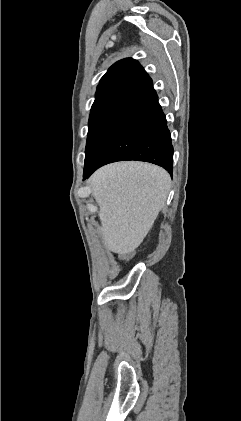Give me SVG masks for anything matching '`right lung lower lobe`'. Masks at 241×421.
<instances>
[{"label":"right lung lower lobe","instance_id":"98d812e1","mask_svg":"<svg viewBox=\"0 0 241 421\" xmlns=\"http://www.w3.org/2000/svg\"><path fill=\"white\" fill-rule=\"evenodd\" d=\"M123 160L154 163L172 174L171 134L153 86L133 101L126 118L96 163L84 169L83 179L105 164Z\"/></svg>","mask_w":241,"mask_h":421}]
</instances>
